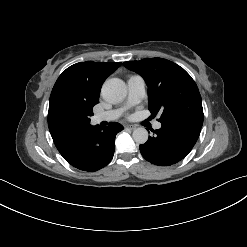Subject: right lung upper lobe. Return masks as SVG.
<instances>
[{
  "mask_svg": "<svg viewBox=\"0 0 247 247\" xmlns=\"http://www.w3.org/2000/svg\"><path fill=\"white\" fill-rule=\"evenodd\" d=\"M120 66L121 62H80L68 67L59 76L50 95L48 112V126L55 144L70 136L50 125L56 107L63 102L96 105L103 82Z\"/></svg>",
  "mask_w": 247,
  "mask_h": 247,
  "instance_id": "obj_1",
  "label": "right lung upper lobe"
}]
</instances>
